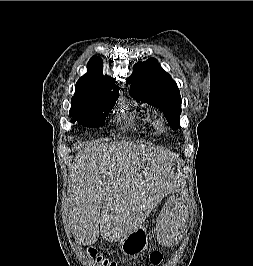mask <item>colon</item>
Returning <instances> with one entry per match:
<instances>
[{
	"instance_id": "colon-1",
	"label": "colon",
	"mask_w": 253,
	"mask_h": 266,
	"mask_svg": "<svg viewBox=\"0 0 253 266\" xmlns=\"http://www.w3.org/2000/svg\"><path fill=\"white\" fill-rule=\"evenodd\" d=\"M88 254L90 257L95 259L100 266H117V263L115 261L98 256L97 252L94 249H89ZM163 258V254L157 251L152 252L149 256L150 262L153 265H159L160 263H162Z\"/></svg>"
}]
</instances>
